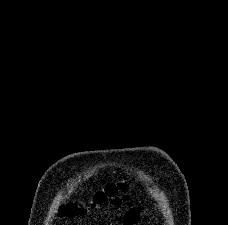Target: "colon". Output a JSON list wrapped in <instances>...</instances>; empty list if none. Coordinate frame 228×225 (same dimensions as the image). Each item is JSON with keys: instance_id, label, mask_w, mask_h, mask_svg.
<instances>
[{"instance_id": "obj_1", "label": "colon", "mask_w": 228, "mask_h": 225, "mask_svg": "<svg viewBox=\"0 0 228 225\" xmlns=\"http://www.w3.org/2000/svg\"><path fill=\"white\" fill-rule=\"evenodd\" d=\"M127 185L123 183H112L100 189L88 204L98 205L103 204L108 200L122 205L129 202V197L126 194ZM88 206L78 205L75 203H68L59 208V216L61 218H74L76 216L84 215L87 212Z\"/></svg>"}]
</instances>
